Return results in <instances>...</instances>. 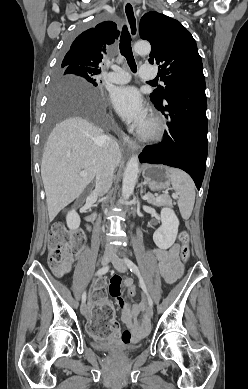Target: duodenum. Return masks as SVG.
<instances>
[{"label": "duodenum", "instance_id": "duodenum-1", "mask_svg": "<svg viewBox=\"0 0 248 389\" xmlns=\"http://www.w3.org/2000/svg\"><path fill=\"white\" fill-rule=\"evenodd\" d=\"M92 219H93L92 216H87V217L85 218V220L87 221L88 224L92 221Z\"/></svg>", "mask_w": 248, "mask_h": 389}]
</instances>
